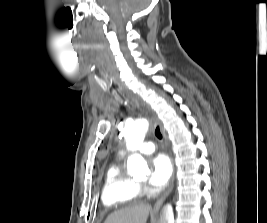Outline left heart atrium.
<instances>
[{"instance_id":"obj_1","label":"left heart atrium","mask_w":267,"mask_h":223,"mask_svg":"<svg viewBox=\"0 0 267 223\" xmlns=\"http://www.w3.org/2000/svg\"><path fill=\"white\" fill-rule=\"evenodd\" d=\"M173 173L171 158L164 153H159L151 160L150 184L163 187L167 184Z\"/></svg>"}]
</instances>
